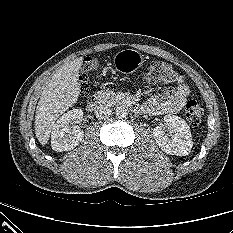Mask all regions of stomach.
I'll list each match as a JSON object with an SVG mask.
<instances>
[{
  "label": "stomach",
  "instance_id": "obj_1",
  "mask_svg": "<svg viewBox=\"0 0 233 233\" xmlns=\"http://www.w3.org/2000/svg\"><path fill=\"white\" fill-rule=\"evenodd\" d=\"M144 62L140 52L133 49L121 50L115 54L113 64L121 72L130 73L141 67Z\"/></svg>",
  "mask_w": 233,
  "mask_h": 233
}]
</instances>
